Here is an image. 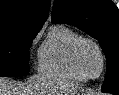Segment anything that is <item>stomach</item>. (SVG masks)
I'll list each match as a JSON object with an SVG mask.
<instances>
[{"label": "stomach", "mask_w": 119, "mask_h": 95, "mask_svg": "<svg viewBox=\"0 0 119 95\" xmlns=\"http://www.w3.org/2000/svg\"><path fill=\"white\" fill-rule=\"evenodd\" d=\"M69 95H89V94L86 92H83L81 90L76 89V90L72 91Z\"/></svg>", "instance_id": "obj_1"}]
</instances>
